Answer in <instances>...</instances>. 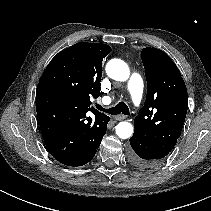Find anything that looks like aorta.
<instances>
[{"mask_svg": "<svg viewBox=\"0 0 211 211\" xmlns=\"http://www.w3.org/2000/svg\"><path fill=\"white\" fill-rule=\"evenodd\" d=\"M107 75L116 81H126L129 78L130 70L128 65L120 59H112L106 65ZM116 134L121 139L130 138L133 134L131 123L123 121L117 124Z\"/></svg>", "mask_w": 211, "mask_h": 211, "instance_id": "1", "label": "aorta"}]
</instances>
